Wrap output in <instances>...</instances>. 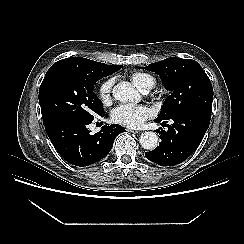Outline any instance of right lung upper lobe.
Wrapping results in <instances>:
<instances>
[{
  "mask_svg": "<svg viewBox=\"0 0 244 244\" xmlns=\"http://www.w3.org/2000/svg\"><path fill=\"white\" fill-rule=\"evenodd\" d=\"M56 66H63L74 70L77 73L86 74L91 77L102 76L105 74L111 75L117 68V65L111 66L82 57L62 59L52 65V67Z\"/></svg>",
  "mask_w": 244,
  "mask_h": 244,
  "instance_id": "1",
  "label": "right lung upper lobe"
}]
</instances>
